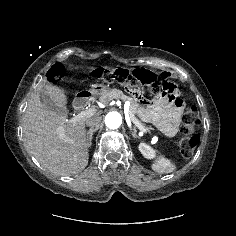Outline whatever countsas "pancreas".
Returning <instances> with one entry per match:
<instances>
[{
    "mask_svg": "<svg viewBox=\"0 0 236 236\" xmlns=\"http://www.w3.org/2000/svg\"><path fill=\"white\" fill-rule=\"evenodd\" d=\"M112 99H121L122 101H130V112L135 116V114L138 112L139 106L138 103L135 102L132 98H130L129 96L125 95L122 91L118 90V89H113V90H109L107 93H105L102 98L101 101L102 102H108ZM143 129V132H150L152 130V128L150 126H146L145 124H141Z\"/></svg>",
    "mask_w": 236,
    "mask_h": 236,
    "instance_id": "cf45deb5",
    "label": "pancreas"
}]
</instances>
